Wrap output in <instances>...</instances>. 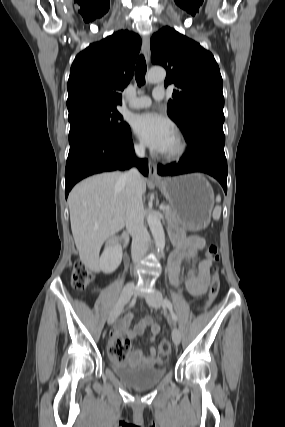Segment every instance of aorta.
Segmentation results:
<instances>
[{"label": "aorta", "mask_w": 285, "mask_h": 427, "mask_svg": "<svg viewBox=\"0 0 285 427\" xmlns=\"http://www.w3.org/2000/svg\"><path fill=\"white\" fill-rule=\"evenodd\" d=\"M166 71L162 67L151 68L147 75L146 81L148 83H161L165 80ZM147 222L155 240L158 253H162L165 248V233L160 219L153 213L148 214Z\"/></svg>", "instance_id": "obj_1"}]
</instances>
